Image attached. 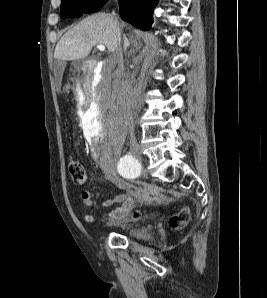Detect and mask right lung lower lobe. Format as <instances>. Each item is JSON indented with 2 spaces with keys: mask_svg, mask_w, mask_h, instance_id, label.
Masks as SVG:
<instances>
[{
  "mask_svg": "<svg viewBox=\"0 0 267 298\" xmlns=\"http://www.w3.org/2000/svg\"><path fill=\"white\" fill-rule=\"evenodd\" d=\"M121 18L132 25L148 30L153 22V10L158 0H118Z\"/></svg>",
  "mask_w": 267,
  "mask_h": 298,
  "instance_id": "98d812e1",
  "label": "right lung lower lobe"
}]
</instances>
